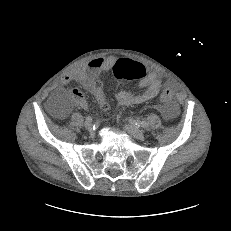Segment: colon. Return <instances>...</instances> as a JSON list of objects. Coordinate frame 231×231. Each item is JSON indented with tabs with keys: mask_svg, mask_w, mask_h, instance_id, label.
Listing matches in <instances>:
<instances>
[{
	"mask_svg": "<svg viewBox=\"0 0 231 231\" xmlns=\"http://www.w3.org/2000/svg\"><path fill=\"white\" fill-rule=\"evenodd\" d=\"M112 73L114 77L118 80H131V79H140L146 75L145 67L134 60L130 59H119L115 62L112 67ZM93 90L100 96L102 94V84L99 80H96L93 84ZM172 98V93L170 90H165L161 94V100L164 102L170 101ZM106 108L107 105L105 104Z\"/></svg>",
	"mask_w": 231,
	"mask_h": 231,
	"instance_id": "colon-1",
	"label": "colon"
}]
</instances>
